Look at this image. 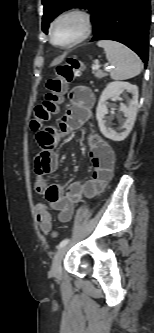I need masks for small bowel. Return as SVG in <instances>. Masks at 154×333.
<instances>
[{"mask_svg": "<svg viewBox=\"0 0 154 333\" xmlns=\"http://www.w3.org/2000/svg\"><path fill=\"white\" fill-rule=\"evenodd\" d=\"M71 105L63 116L59 131L51 126H43L35 134L39 152L35 157L36 193L44 196L50 208L58 212L61 222L73 217L75 206L84 197H93L104 190L112 178L115 154L110 144L98 133H88L89 157L93 166L92 177L84 183L73 182L64 187L59 182L48 183L46 177L59 166L56 151L62 135L88 126L92 119L94 94L85 86H76L70 92Z\"/></svg>", "mask_w": 154, "mask_h": 333, "instance_id": "small-bowel-1", "label": "small bowel"}]
</instances>
